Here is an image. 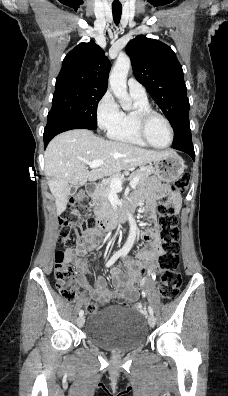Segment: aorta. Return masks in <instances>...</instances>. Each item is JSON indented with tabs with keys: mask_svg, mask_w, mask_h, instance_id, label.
<instances>
[{
	"mask_svg": "<svg viewBox=\"0 0 228 396\" xmlns=\"http://www.w3.org/2000/svg\"><path fill=\"white\" fill-rule=\"evenodd\" d=\"M131 66L130 58L126 55H119L115 62L113 69L109 76V84L115 97L119 100V103L123 110H129L132 106V100L127 92V74ZM129 221V235L123 246V250L128 252L136 239L138 227L135 219L131 213H127Z\"/></svg>",
	"mask_w": 228,
	"mask_h": 396,
	"instance_id": "aorta-1",
	"label": "aorta"
}]
</instances>
